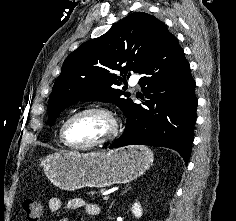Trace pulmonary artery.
<instances>
[{
    "mask_svg": "<svg viewBox=\"0 0 236 221\" xmlns=\"http://www.w3.org/2000/svg\"><path fill=\"white\" fill-rule=\"evenodd\" d=\"M129 83L131 86H136L139 83V77L137 75L131 76Z\"/></svg>",
    "mask_w": 236,
    "mask_h": 221,
    "instance_id": "obj_1",
    "label": "pulmonary artery"
}]
</instances>
